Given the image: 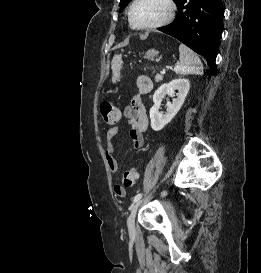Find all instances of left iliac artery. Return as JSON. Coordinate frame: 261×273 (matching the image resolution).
Masks as SVG:
<instances>
[{
	"label": "left iliac artery",
	"mask_w": 261,
	"mask_h": 273,
	"mask_svg": "<svg viewBox=\"0 0 261 273\" xmlns=\"http://www.w3.org/2000/svg\"><path fill=\"white\" fill-rule=\"evenodd\" d=\"M141 197H142V194H141V193L137 194V195L133 198V202H134V203L137 202L138 200H140Z\"/></svg>",
	"instance_id": "obj_1"
}]
</instances>
